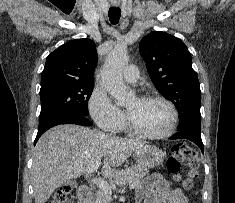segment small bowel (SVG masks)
I'll return each instance as SVG.
<instances>
[{"label": "small bowel", "instance_id": "1", "mask_svg": "<svg viewBox=\"0 0 235 203\" xmlns=\"http://www.w3.org/2000/svg\"><path fill=\"white\" fill-rule=\"evenodd\" d=\"M146 196L145 203H188L186 196L178 189L171 188L160 174L146 177L136 191L138 199Z\"/></svg>", "mask_w": 235, "mask_h": 203}]
</instances>
